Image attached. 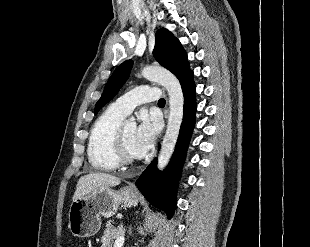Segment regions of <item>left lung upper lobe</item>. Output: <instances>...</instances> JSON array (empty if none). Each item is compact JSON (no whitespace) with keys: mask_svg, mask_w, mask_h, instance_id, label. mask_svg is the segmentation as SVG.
<instances>
[{"mask_svg":"<svg viewBox=\"0 0 310 247\" xmlns=\"http://www.w3.org/2000/svg\"><path fill=\"white\" fill-rule=\"evenodd\" d=\"M153 55L163 67L171 71L179 80L191 71L187 54L181 43L165 28H161L156 34ZM132 66V60H127L115 69L101 98L96 103L95 114L117 94L128 79Z\"/></svg>","mask_w":310,"mask_h":247,"instance_id":"obj_1","label":"left lung upper lobe"}]
</instances>
